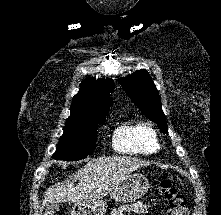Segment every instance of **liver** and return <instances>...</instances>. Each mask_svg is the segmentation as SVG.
Here are the masks:
<instances>
[{
  "label": "liver",
  "instance_id": "liver-1",
  "mask_svg": "<svg viewBox=\"0 0 221 215\" xmlns=\"http://www.w3.org/2000/svg\"><path fill=\"white\" fill-rule=\"evenodd\" d=\"M132 157H100L92 159L64 182L48 188L42 209L50 203L95 202L114 190L130 173L148 166ZM79 181L76 186L74 182Z\"/></svg>",
  "mask_w": 221,
  "mask_h": 215
}]
</instances>
